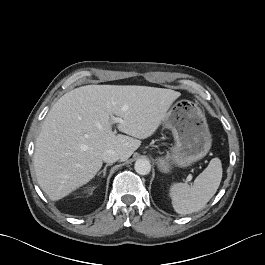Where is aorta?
Wrapping results in <instances>:
<instances>
[{
    "mask_svg": "<svg viewBox=\"0 0 265 265\" xmlns=\"http://www.w3.org/2000/svg\"><path fill=\"white\" fill-rule=\"evenodd\" d=\"M134 169L140 175H147L151 171V164L146 159H138L135 162Z\"/></svg>",
    "mask_w": 265,
    "mask_h": 265,
    "instance_id": "762f6f07",
    "label": "aorta"
}]
</instances>
